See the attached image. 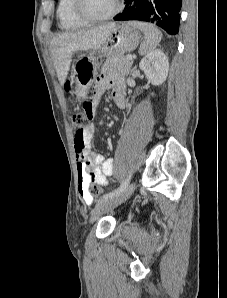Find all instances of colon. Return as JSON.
<instances>
[{
	"instance_id": "colon-1",
	"label": "colon",
	"mask_w": 227,
	"mask_h": 298,
	"mask_svg": "<svg viewBox=\"0 0 227 298\" xmlns=\"http://www.w3.org/2000/svg\"><path fill=\"white\" fill-rule=\"evenodd\" d=\"M89 117H93V115H85L83 110L76 111L72 115V124L75 129V149L81 157H83L85 150L84 132L89 127ZM101 192V188L98 185H93L89 188V193L91 195L98 196Z\"/></svg>"
}]
</instances>
